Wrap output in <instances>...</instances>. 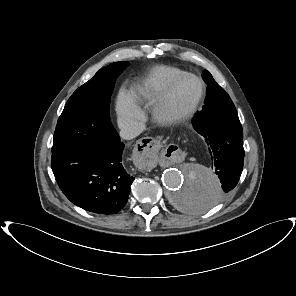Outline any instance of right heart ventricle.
Wrapping results in <instances>:
<instances>
[{
	"instance_id": "obj_1",
	"label": "right heart ventricle",
	"mask_w": 296,
	"mask_h": 296,
	"mask_svg": "<svg viewBox=\"0 0 296 296\" xmlns=\"http://www.w3.org/2000/svg\"><path fill=\"white\" fill-rule=\"evenodd\" d=\"M184 70L168 65L153 67L129 92V100L137 108L148 107L156 102L167 85Z\"/></svg>"
}]
</instances>
